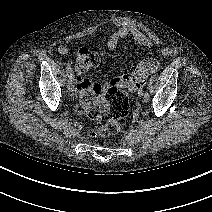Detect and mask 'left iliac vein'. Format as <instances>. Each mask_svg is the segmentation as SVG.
Wrapping results in <instances>:
<instances>
[{
    "instance_id": "left-iliac-vein-1",
    "label": "left iliac vein",
    "mask_w": 212,
    "mask_h": 212,
    "mask_svg": "<svg viewBox=\"0 0 212 212\" xmlns=\"http://www.w3.org/2000/svg\"><path fill=\"white\" fill-rule=\"evenodd\" d=\"M138 96H139V97L145 96V93H144V90H143V89H140V90L138 91ZM144 102H146V101H145V97H144Z\"/></svg>"
}]
</instances>
